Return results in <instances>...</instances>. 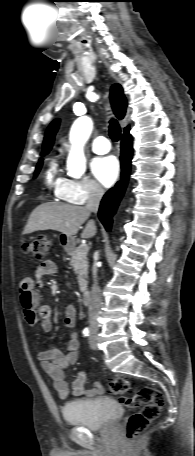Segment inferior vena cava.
Here are the masks:
<instances>
[{"mask_svg": "<svg viewBox=\"0 0 195 456\" xmlns=\"http://www.w3.org/2000/svg\"><path fill=\"white\" fill-rule=\"evenodd\" d=\"M103 195L104 190L99 185H93L90 189L89 198L85 206L87 211L97 213ZM97 271V263L94 262L92 266L93 286L88 307L89 325L91 328H98L97 318L102 304L100 288L97 280Z\"/></svg>", "mask_w": 195, "mask_h": 456, "instance_id": "obj_1", "label": "inferior vena cava"}]
</instances>
